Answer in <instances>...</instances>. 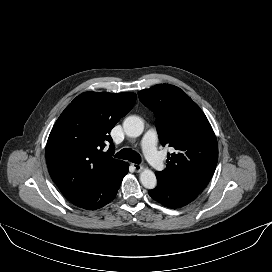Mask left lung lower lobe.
<instances>
[{
  "label": "left lung lower lobe",
  "mask_w": 272,
  "mask_h": 272,
  "mask_svg": "<svg viewBox=\"0 0 272 272\" xmlns=\"http://www.w3.org/2000/svg\"><path fill=\"white\" fill-rule=\"evenodd\" d=\"M157 179V187L149 190L148 193L155 201L168 208L183 207L195 200L201 192L198 189L177 182Z\"/></svg>",
  "instance_id": "1"
}]
</instances>
